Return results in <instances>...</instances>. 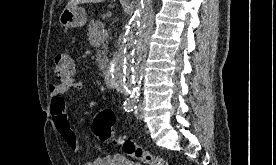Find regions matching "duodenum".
Wrapping results in <instances>:
<instances>
[{"instance_id": "1", "label": "duodenum", "mask_w": 276, "mask_h": 165, "mask_svg": "<svg viewBox=\"0 0 276 165\" xmlns=\"http://www.w3.org/2000/svg\"><path fill=\"white\" fill-rule=\"evenodd\" d=\"M104 77H105V80L108 84H111V76H110V73L108 70H105L104 71Z\"/></svg>"}]
</instances>
